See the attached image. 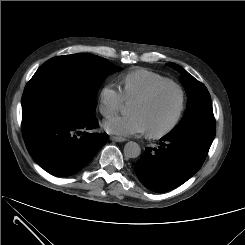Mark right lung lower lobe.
<instances>
[{
  "mask_svg": "<svg viewBox=\"0 0 245 245\" xmlns=\"http://www.w3.org/2000/svg\"><path fill=\"white\" fill-rule=\"evenodd\" d=\"M96 127L95 116L86 121L55 118L23 127V137L38 165L55 176L64 177L81 170L107 142L106 133L87 131Z\"/></svg>",
  "mask_w": 245,
  "mask_h": 245,
  "instance_id": "obj_1",
  "label": "right lung lower lobe"
}]
</instances>
